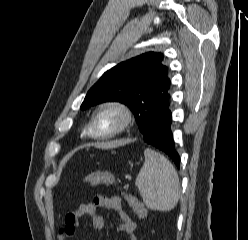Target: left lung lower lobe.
<instances>
[{
    "instance_id": "0a47b994",
    "label": "left lung lower lobe",
    "mask_w": 248,
    "mask_h": 240,
    "mask_svg": "<svg viewBox=\"0 0 248 240\" xmlns=\"http://www.w3.org/2000/svg\"><path fill=\"white\" fill-rule=\"evenodd\" d=\"M172 115L169 104L163 107L152 118L147 130L142 133L143 140L167 154L176 166L180 165V156L175 149L173 134L171 131Z\"/></svg>"
}]
</instances>
